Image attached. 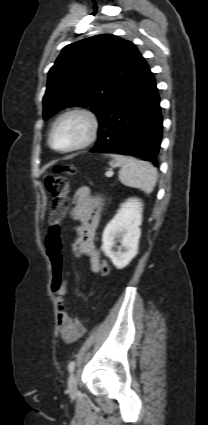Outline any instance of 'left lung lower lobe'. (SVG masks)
<instances>
[{"label":"left lung lower lobe","instance_id":"1","mask_svg":"<svg viewBox=\"0 0 208 425\" xmlns=\"http://www.w3.org/2000/svg\"><path fill=\"white\" fill-rule=\"evenodd\" d=\"M98 138L92 151L138 156L158 167L162 115L156 81L146 62L103 109Z\"/></svg>","mask_w":208,"mask_h":425}]
</instances>
